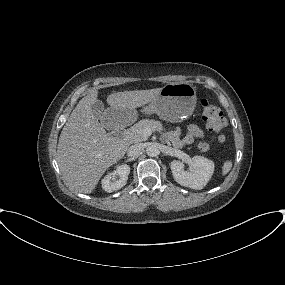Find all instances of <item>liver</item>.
Segmentation results:
<instances>
[{"mask_svg": "<svg viewBox=\"0 0 285 285\" xmlns=\"http://www.w3.org/2000/svg\"><path fill=\"white\" fill-rule=\"evenodd\" d=\"M161 88L112 93L107 103L112 108L134 110L154 100ZM98 91L83 97L63 127L58 147L59 168L70 187L78 192L91 193L105 171L125 155L128 144L106 133L94 116L91 105Z\"/></svg>", "mask_w": 285, "mask_h": 285, "instance_id": "obj_1", "label": "liver"}]
</instances>
